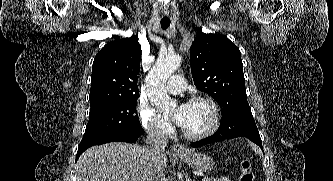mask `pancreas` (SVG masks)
<instances>
[{
    "mask_svg": "<svg viewBox=\"0 0 333 181\" xmlns=\"http://www.w3.org/2000/svg\"><path fill=\"white\" fill-rule=\"evenodd\" d=\"M211 181H231V180L227 177H221V178H214Z\"/></svg>",
    "mask_w": 333,
    "mask_h": 181,
    "instance_id": "cf45deb5",
    "label": "pancreas"
}]
</instances>
